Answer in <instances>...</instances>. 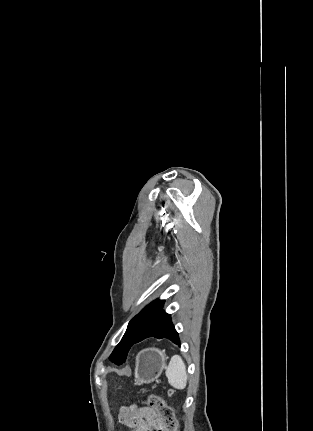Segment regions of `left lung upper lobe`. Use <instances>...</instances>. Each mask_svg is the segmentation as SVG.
<instances>
[{
    "instance_id": "obj_1",
    "label": "left lung upper lobe",
    "mask_w": 313,
    "mask_h": 431,
    "mask_svg": "<svg viewBox=\"0 0 313 431\" xmlns=\"http://www.w3.org/2000/svg\"><path fill=\"white\" fill-rule=\"evenodd\" d=\"M164 305V300H154L143 308L128 324L127 330L110 355V360L115 364H122L127 357V354L133 345V341L145 324L157 313Z\"/></svg>"
}]
</instances>
